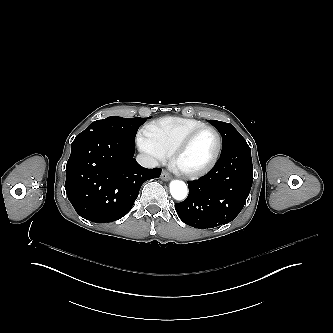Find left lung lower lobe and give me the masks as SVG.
Masks as SVG:
<instances>
[{"instance_id": "obj_1", "label": "left lung lower lobe", "mask_w": 333, "mask_h": 333, "mask_svg": "<svg viewBox=\"0 0 333 333\" xmlns=\"http://www.w3.org/2000/svg\"><path fill=\"white\" fill-rule=\"evenodd\" d=\"M253 181V164L248 144L222 153L213 169L189 181V195L175 204L179 218L187 225L214 228L231 222L243 209Z\"/></svg>"}]
</instances>
